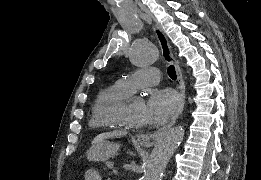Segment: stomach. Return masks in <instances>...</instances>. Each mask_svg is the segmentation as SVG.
I'll use <instances>...</instances> for the list:
<instances>
[{"label": "stomach", "instance_id": "obj_1", "mask_svg": "<svg viewBox=\"0 0 261 180\" xmlns=\"http://www.w3.org/2000/svg\"><path fill=\"white\" fill-rule=\"evenodd\" d=\"M120 149V144L107 140L97 142L87 152V158L93 162H105L115 156Z\"/></svg>", "mask_w": 261, "mask_h": 180}]
</instances>
